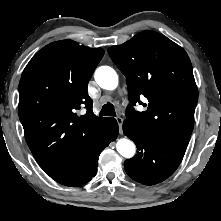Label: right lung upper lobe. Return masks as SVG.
<instances>
[{
	"instance_id": "cb5924a9",
	"label": "right lung upper lobe",
	"mask_w": 221,
	"mask_h": 221,
	"mask_svg": "<svg viewBox=\"0 0 221 221\" xmlns=\"http://www.w3.org/2000/svg\"><path fill=\"white\" fill-rule=\"evenodd\" d=\"M104 55L101 48L61 40L43 47L25 67L18 113L28 146L47 171L74 153L103 125L92 111L88 82ZM86 108V114L76 111Z\"/></svg>"
}]
</instances>
